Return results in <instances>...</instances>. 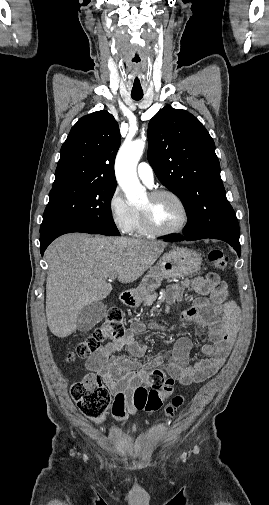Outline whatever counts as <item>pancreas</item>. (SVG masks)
Here are the masks:
<instances>
[{
	"mask_svg": "<svg viewBox=\"0 0 269 505\" xmlns=\"http://www.w3.org/2000/svg\"><path fill=\"white\" fill-rule=\"evenodd\" d=\"M151 296H152V295H151V293H149V294L145 295V297H144V304H145V305L148 303V301H149V299L151 298Z\"/></svg>",
	"mask_w": 269,
	"mask_h": 505,
	"instance_id": "obj_1",
	"label": "pancreas"
}]
</instances>
